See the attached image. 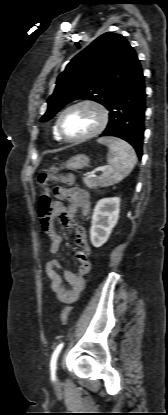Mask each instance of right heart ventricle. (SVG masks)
I'll return each mask as SVG.
<instances>
[{
    "instance_id": "e07e8e85",
    "label": "right heart ventricle",
    "mask_w": 168,
    "mask_h": 415,
    "mask_svg": "<svg viewBox=\"0 0 168 415\" xmlns=\"http://www.w3.org/2000/svg\"><path fill=\"white\" fill-rule=\"evenodd\" d=\"M52 135H53V138L56 141H61L62 140V138L60 137V135L58 134V131H57V121L54 123V125L52 127Z\"/></svg>"
}]
</instances>
